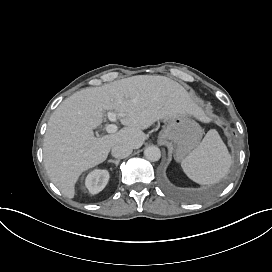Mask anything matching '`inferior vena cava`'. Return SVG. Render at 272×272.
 Segmentation results:
<instances>
[{
  "mask_svg": "<svg viewBox=\"0 0 272 272\" xmlns=\"http://www.w3.org/2000/svg\"><path fill=\"white\" fill-rule=\"evenodd\" d=\"M131 153L132 147L124 143H118L112 147V156L118 159H123Z\"/></svg>",
  "mask_w": 272,
  "mask_h": 272,
  "instance_id": "inferior-vena-cava-1",
  "label": "inferior vena cava"
}]
</instances>
